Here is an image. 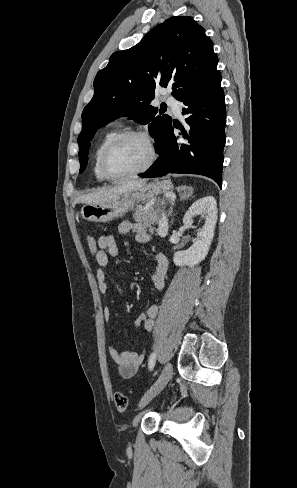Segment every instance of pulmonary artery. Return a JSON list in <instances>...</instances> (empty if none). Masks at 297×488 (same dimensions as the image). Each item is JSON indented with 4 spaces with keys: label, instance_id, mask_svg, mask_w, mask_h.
I'll use <instances>...</instances> for the list:
<instances>
[{
    "label": "pulmonary artery",
    "instance_id": "obj_1",
    "mask_svg": "<svg viewBox=\"0 0 297 488\" xmlns=\"http://www.w3.org/2000/svg\"><path fill=\"white\" fill-rule=\"evenodd\" d=\"M167 104L172 108L176 115H180L182 111V104L176 98L170 96L166 99Z\"/></svg>",
    "mask_w": 297,
    "mask_h": 488
}]
</instances>
